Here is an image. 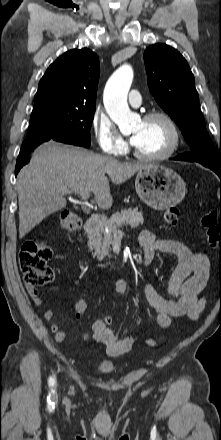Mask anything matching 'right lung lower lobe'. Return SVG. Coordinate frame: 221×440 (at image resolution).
<instances>
[{"label": "right lung lower lobe", "instance_id": "98d812e1", "mask_svg": "<svg viewBox=\"0 0 221 440\" xmlns=\"http://www.w3.org/2000/svg\"><path fill=\"white\" fill-rule=\"evenodd\" d=\"M48 140H55L58 142H63L66 144H73L77 146H84L75 140L69 139V138H62V137H49V136H43V137H35L31 139H26L21 147L19 156L17 158V163L15 166V175L17 176L19 170L29 162L30 160V154L32 150L40 145L41 143L48 141ZM85 147V146H84Z\"/></svg>", "mask_w": 221, "mask_h": 440}]
</instances>
